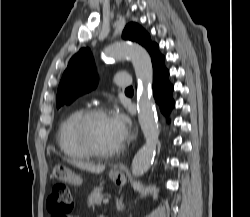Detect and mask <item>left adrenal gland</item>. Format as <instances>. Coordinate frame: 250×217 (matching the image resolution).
I'll use <instances>...</instances> for the list:
<instances>
[{"mask_svg": "<svg viewBox=\"0 0 250 217\" xmlns=\"http://www.w3.org/2000/svg\"><path fill=\"white\" fill-rule=\"evenodd\" d=\"M117 208H118L119 210H121V211L124 209V205H123V203H122V198H121L120 200L117 201Z\"/></svg>", "mask_w": 250, "mask_h": 217, "instance_id": "a2214340", "label": "left adrenal gland"}]
</instances>
